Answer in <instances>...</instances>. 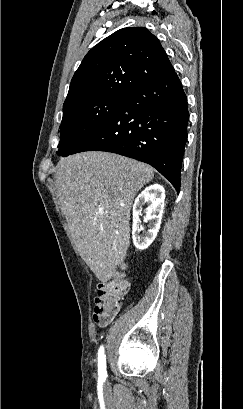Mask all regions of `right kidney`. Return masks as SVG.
<instances>
[{
	"instance_id": "right-kidney-1",
	"label": "right kidney",
	"mask_w": 243,
	"mask_h": 409,
	"mask_svg": "<svg viewBox=\"0 0 243 409\" xmlns=\"http://www.w3.org/2000/svg\"><path fill=\"white\" fill-rule=\"evenodd\" d=\"M164 200L165 190L159 184L148 186L135 199L133 204L132 239L137 249H147L156 238L161 224ZM145 204L147 205L145 221H149V229L145 235H141L139 216Z\"/></svg>"
}]
</instances>
